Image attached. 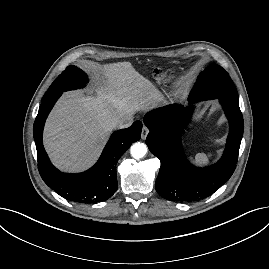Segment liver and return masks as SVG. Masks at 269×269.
I'll use <instances>...</instances> for the list:
<instances>
[{
    "label": "liver",
    "instance_id": "liver-1",
    "mask_svg": "<svg viewBox=\"0 0 269 269\" xmlns=\"http://www.w3.org/2000/svg\"><path fill=\"white\" fill-rule=\"evenodd\" d=\"M104 85L96 95L66 92L48 117L44 146L60 170L79 172L93 165L117 124L155 106L159 92L129 62L101 67Z\"/></svg>",
    "mask_w": 269,
    "mask_h": 269
}]
</instances>
